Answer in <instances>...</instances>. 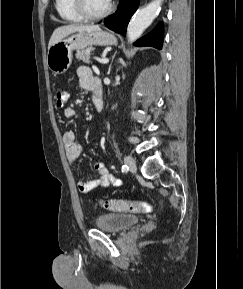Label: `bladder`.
Masks as SVG:
<instances>
[{
	"label": "bladder",
	"instance_id": "1",
	"mask_svg": "<svg viewBox=\"0 0 243 289\" xmlns=\"http://www.w3.org/2000/svg\"><path fill=\"white\" fill-rule=\"evenodd\" d=\"M140 221L139 217L127 213H105L95 219V226L111 232L126 231Z\"/></svg>",
	"mask_w": 243,
	"mask_h": 289
}]
</instances>
